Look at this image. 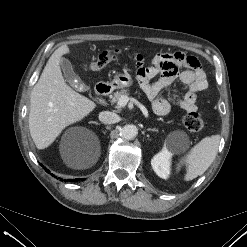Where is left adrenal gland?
<instances>
[{"label": "left adrenal gland", "mask_w": 247, "mask_h": 247, "mask_svg": "<svg viewBox=\"0 0 247 247\" xmlns=\"http://www.w3.org/2000/svg\"><path fill=\"white\" fill-rule=\"evenodd\" d=\"M147 130H148V131H153V132H158V130L155 129V128H148Z\"/></svg>", "instance_id": "1"}]
</instances>
